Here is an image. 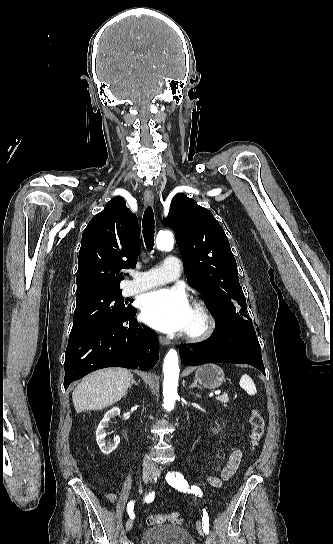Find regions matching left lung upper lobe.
Listing matches in <instances>:
<instances>
[{
	"mask_svg": "<svg viewBox=\"0 0 333 544\" xmlns=\"http://www.w3.org/2000/svg\"><path fill=\"white\" fill-rule=\"evenodd\" d=\"M164 224L176 233L187 280L212 305L218 325L248 324L246 299L228 238L213 214L182 194L173 197Z\"/></svg>",
	"mask_w": 333,
	"mask_h": 544,
	"instance_id": "1",
	"label": "left lung upper lobe"
}]
</instances>
